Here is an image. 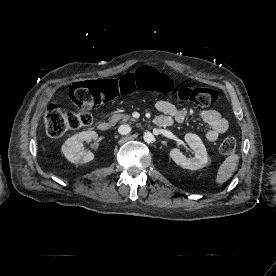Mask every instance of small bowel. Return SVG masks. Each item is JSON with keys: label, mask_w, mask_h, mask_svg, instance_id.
<instances>
[{"label": "small bowel", "mask_w": 276, "mask_h": 276, "mask_svg": "<svg viewBox=\"0 0 276 276\" xmlns=\"http://www.w3.org/2000/svg\"><path fill=\"white\" fill-rule=\"evenodd\" d=\"M156 108L162 113L158 117L165 119L168 126L174 122L183 123L188 116L197 114L209 126L206 138L210 142L216 141L229 127L227 119L215 109L196 111L193 108H178L171 102L165 100L158 101Z\"/></svg>", "instance_id": "obj_1"}]
</instances>
